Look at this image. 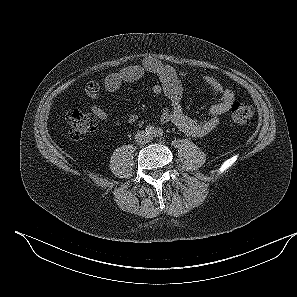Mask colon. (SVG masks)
Returning <instances> with one entry per match:
<instances>
[{"instance_id": "colon-1", "label": "colon", "mask_w": 297, "mask_h": 297, "mask_svg": "<svg viewBox=\"0 0 297 297\" xmlns=\"http://www.w3.org/2000/svg\"><path fill=\"white\" fill-rule=\"evenodd\" d=\"M253 116L254 109L249 104L234 102L230 107V121L235 125H246ZM66 120L70 126L69 136L72 140H80L97 128L96 119L77 108H71L67 111Z\"/></svg>"}]
</instances>
